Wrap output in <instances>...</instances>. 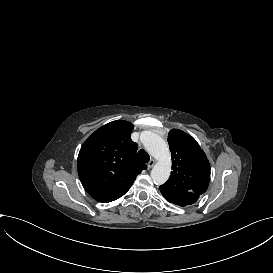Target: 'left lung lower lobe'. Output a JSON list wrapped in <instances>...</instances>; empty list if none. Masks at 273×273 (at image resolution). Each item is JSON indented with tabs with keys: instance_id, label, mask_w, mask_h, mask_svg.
<instances>
[{
	"instance_id": "left-lung-lower-lobe-1",
	"label": "left lung lower lobe",
	"mask_w": 273,
	"mask_h": 273,
	"mask_svg": "<svg viewBox=\"0 0 273 273\" xmlns=\"http://www.w3.org/2000/svg\"><path fill=\"white\" fill-rule=\"evenodd\" d=\"M162 195L167 199V201L172 202L176 205L186 206L195 203L200 195L194 194L192 192H183L171 194L164 190H161Z\"/></svg>"
}]
</instances>
